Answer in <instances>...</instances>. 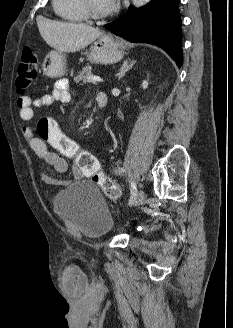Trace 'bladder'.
Returning <instances> with one entry per match:
<instances>
[{"label": "bladder", "instance_id": "1", "mask_svg": "<svg viewBox=\"0 0 233 328\" xmlns=\"http://www.w3.org/2000/svg\"><path fill=\"white\" fill-rule=\"evenodd\" d=\"M56 211L87 238H99L113 227V217L98 189L81 180L58 192L53 200Z\"/></svg>", "mask_w": 233, "mask_h": 328}]
</instances>
